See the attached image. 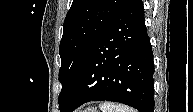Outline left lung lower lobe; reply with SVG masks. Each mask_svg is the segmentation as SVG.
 Masks as SVG:
<instances>
[{
  "label": "left lung lower lobe",
  "instance_id": "left-lung-lower-lobe-1",
  "mask_svg": "<svg viewBox=\"0 0 193 112\" xmlns=\"http://www.w3.org/2000/svg\"><path fill=\"white\" fill-rule=\"evenodd\" d=\"M153 52L142 0H132L89 52L61 112L89 101H114L154 112Z\"/></svg>",
  "mask_w": 193,
  "mask_h": 112
}]
</instances>
